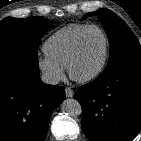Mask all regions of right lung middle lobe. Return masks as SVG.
Masks as SVG:
<instances>
[{
    "instance_id": "dd1d6c3e",
    "label": "right lung middle lobe",
    "mask_w": 141,
    "mask_h": 141,
    "mask_svg": "<svg viewBox=\"0 0 141 141\" xmlns=\"http://www.w3.org/2000/svg\"><path fill=\"white\" fill-rule=\"evenodd\" d=\"M52 23L39 16L0 21V59L16 55L37 58L41 37Z\"/></svg>"
}]
</instances>
